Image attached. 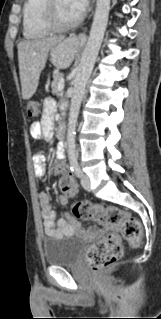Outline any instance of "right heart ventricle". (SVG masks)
<instances>
[{
  "mask_svg": "<svg viewBox=\"0 0 161 319\" xmlns=\"http://www.w3.org/2000/svg\"><path fill=\"white\" fill-rule=\"evenodd\" d=\"M45 0H26L23 8V36L27 40L40 39L50 33L43 21Z\"/></svg>",
  "mask_w": 161,
  "mask_h": 319,
  "instance_id": "e07e8e85",
  "label": "right heart ventricle"
}]
</instances>
